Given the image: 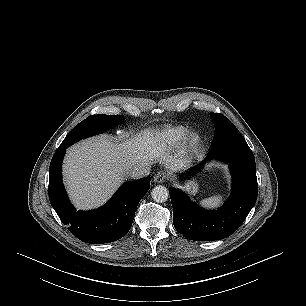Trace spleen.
Here are the masks:
<instances>
[{
	"label": "spleen",
	"mask_w": 306,
	"mask_h": 306,
	"mask_svg": "<svg viewBox=\"0 0 306 306\" xmlns=\"http://www.w3.org/2000/svg\"><path fill=\"white\" fill-rule=\"evenodd\" d=\"M223 197L214 196L200 201V205L206 208L217 207L221 204Z\"/></svg>",
	"instance_id": "obj_1"
}]
</instances>
